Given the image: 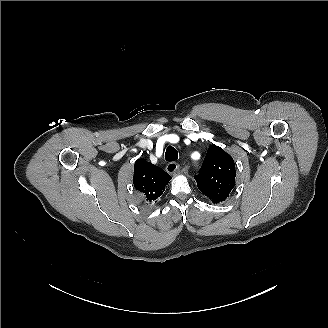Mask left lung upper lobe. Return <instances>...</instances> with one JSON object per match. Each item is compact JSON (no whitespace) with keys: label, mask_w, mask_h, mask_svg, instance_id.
Masks as SVG:
<instances>
[{"label":"left lung upper lobe","mask_w":328,"mask_h":328,"mask_svg":"<svg viewBox=\"0 0 328 328\" xmlns=\"http://www.w3.org/2000/svg\"><path fill=\"white\" fill-rule=\"evenodd\" d=\"M235 164L222 148L211 145L199 174L195 176L198 189L213 203L224 201L235 186Z\"/></svg>","instance_id":"5c2ea615"}]
</instances>
